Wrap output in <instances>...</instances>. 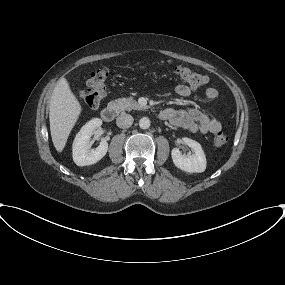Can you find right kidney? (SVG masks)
I'll use <instances>...</instances> for the list:
<instances>
[{"label": "right kidney", "mask_w": 285, "mask_h": 285, "mask_svg": "<svg viewBox=\"0 0 285 285\" xmlns=\"http://www.w3.org/2000/svg\"><path fill=\"white\" fill-rule=\"evenodd\" d=\"M102 125V120L94 118L86 123L73 142V160L78 166H87L97 163L107 153L108 143L102 140L96 149L89 150L90 138L94 134L96 128Z\"/></svg>", "instance_id": "ca27d5eb"}]
</instances>
